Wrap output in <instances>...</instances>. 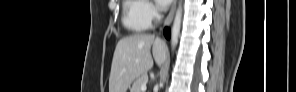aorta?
Wrapping results in <instances>:
<instances>
[{
  "mask_svg": "<svg viewBox=\"0 0 296 92\" xmlns=\"http://www.w3.org/2000/svg\"><path fill=\"white\" fill-rule=\"evenodd\" d=\"M181 22H182V6L181 1L179 2L178 8L176 10L172 30H171V44L172 48H175V46L178 43V37L180 34L181 29Z\"/></svg>",
  "mask_w": 296,
  "mask_h": 92,
  "instance_id": "1",
  "label": "aorta"
}]
</instances>
